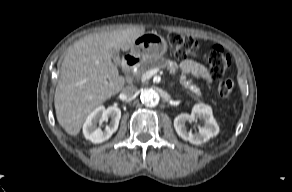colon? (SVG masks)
Here are the masks:
<instances>
[{
	"instance_id": "5ec220e1",
	"label": "colon",
	"mask_w": 292,
	"mask_h": 192,
	"mask_svg": "<svg viewBox=\"0 0 292 192\" xmlns=\"http://www.w3.org/2000/svg\"><path fill=\"white\" fill-rule=\"evenodd\" d=\"M167 41L174 56L179 60H187L189 57L197 56L200 46L196 39L191 36L172 32L167 36ZM210 72L213 77L218 78L217 94L220 98L226 99L234 88V82L230 78H222L223 74L231 66V57L220 45H213L207 55Z\"/></svg>"
}]
</instances>
